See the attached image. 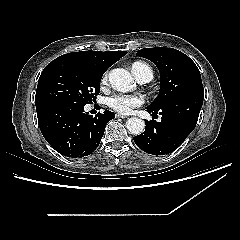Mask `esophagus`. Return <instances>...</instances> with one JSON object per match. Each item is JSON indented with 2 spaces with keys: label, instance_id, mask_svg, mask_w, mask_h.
I'll return each mask as SVG.
<instances>
[{
  "label": "esophagus",
  "instance_id": "1",
  "mask_svg": "<svg viewBox=\"0 0 240 240\" xmlns=\"http://www.w3.org/2000/svg\"><path fill=\"white\" fill-rule=\"evenodd\" d=\"M115 116H116L117 118H122V119L128 118L127 115H121V114H116Z\"/></svg>",
  "mask_w": 240,
  "mask_h": 240
}]
</instances>
